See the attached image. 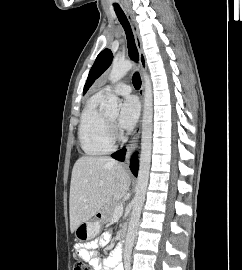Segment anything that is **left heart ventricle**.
I'll use <instances>...</instances> for the list:
<instances>
[{
  "instance_id": "1",
  "label": "left heart ventricle",
  "mask_w": 242,
  "mask_h": 270,
  "mask_svg": "<svg viewBox=\"0 0 242 270\" xmlns=\"http://www.w3.org/2000/svg\"><path fill=\"white\" fill-rule=\"evenodd\" d=\"M109 119H111L112 121H114L116 119V115L109 116Z\"/></svg>"
}]
</instances>
